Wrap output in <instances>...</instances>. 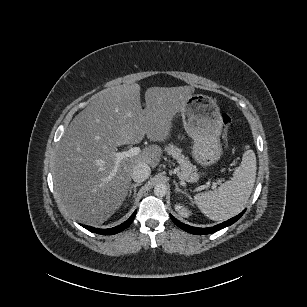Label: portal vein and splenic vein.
<instances>
[{
  "mask_svg": "<svg viewBox=\"0 0 307 307\" xmlns=\"http://www.w3.org/2000/svg\"><path fill=\"white\" fill-rule=\"evenodd\" d=\"M141 150H142L141 147H132L128 151H126L125 153H117L116 154L117 161L114 165L112 172L109 175V179H111L113 177V175L116 173L117 168L119 167L120 160H122L124 157L136 156V155L141 153ZM207 185H210V182H207ZM211 185H212L213 188H216L217 183L213 181V182H211ZM204 189H205V186L197 187L198 191L204 190Z\"/></svg>",
  "mask_w": 307,
  "mask_h": 307,
  "instance_id": "portal-vein-and-splenic-vein-1",
  "label": "portal vein and splenic vein"
}]
</instances>
